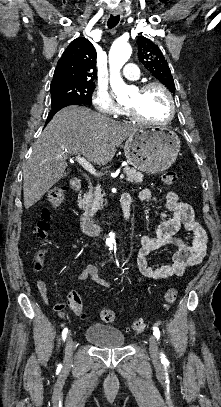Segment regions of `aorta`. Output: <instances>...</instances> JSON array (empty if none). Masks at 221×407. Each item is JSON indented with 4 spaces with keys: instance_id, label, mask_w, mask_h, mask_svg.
<instances>
[{
    "instance_id": "aorta-1",
    "label": "aorta",
    "mask_w": 221,
    "mask_h": 407,
    "mask_svg": "<svg viewBox=\"0 0 221 407\" xmlns=\"http://www.w3.org/2000/svg\"><path fill=\"white\" fill-rule=\"evenodd\" d=\"M131 53V46L127 42L114 43L109 52L110 85L118 100L127 98L132 91V88L125 84L120 75V69L128 61ZM106 244L110 250L113 248V244H115L113 232L109 233Z\"/></svg>"
}]
</instances>
